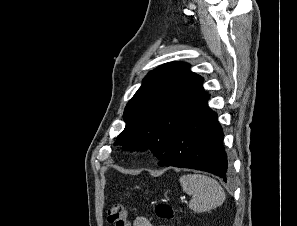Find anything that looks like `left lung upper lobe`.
Returning a JSON list of instances; mask_svg holds the SVG:
<instances>
[{"mask_svg":"<svg viewBox=\"0 0 297 226\" xmlns=\"http://www.w3.org/2000/svg\"><path fill=\"white\" fill-rule=\"evenodd\" d=\"M202 82L183 62L163 64L148 73L125 107L126 127L117 143H126L124 150L150 148L160 160L183 121L207 95Z\"/></svg>","mask_w":297,"mask_h":226,"instance_id":"obj_1","label":"left lung upper lobe"}]
</instances>
